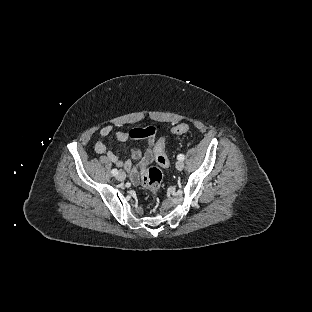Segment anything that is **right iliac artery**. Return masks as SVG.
I'll return each instance as SVG.
<instances>
[{
    "label": "right iliac artery",
    "instance_id": "1",
    "mask_svg": "<svg viewBox=\"0 0 312 312\" xmlns=\"http://www.w3.org/2000/svg\"><path fill=\"white\" fill-rule=\"evenodd\" d=\"M111 173H112V175L116 176V175H118L119 172L117 169H112Z\"/></svg>",
    "mask_w": 312,
    "mask_h": 312
}]
</instances>
